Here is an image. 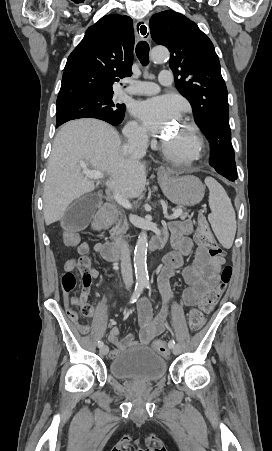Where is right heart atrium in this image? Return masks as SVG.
Returning a JSON list of instances; mask_svg holds the SVG:
<instances>
[{
    "label": "right heart atrium",
    "instance_id": "1",
    "mask_svg": "<svg viewBox=\"0 0 272 451\" xmlns=\"http://www.w3.org/2000/svg\"><path fill=\"white\" fill-rule=\"evenodd\" d=\"M128 132L132 138H139V137L143 136V134H144L142 127L136 121L129 122Z\"/></svg>",
    "mask_w": 272,
    "mask_h": 451
}]
</instances>
